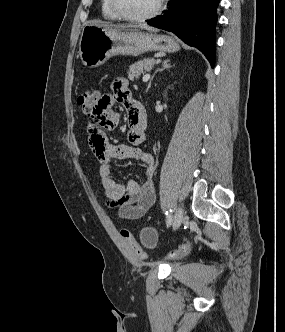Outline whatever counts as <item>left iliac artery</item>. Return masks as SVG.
Segmentation results:
<instances>
[{
  "mask_svg": "<svg viewBox=\"0 0 285 332\" xmlns=\"http://www.w3.org/2000/svg\"><path fill=\"white\" fill-rule=\"evenodd\" d=\"M171 212H172L171 209L166 212V215H167L166 225H167V227H169L171 225V222H172Z\"/></svg>",
  "mask_w": 285,
  "mask_h": 332,
  "instance_id": "44dca946",
  "label": "left iliac artery"
}]
</instances>
